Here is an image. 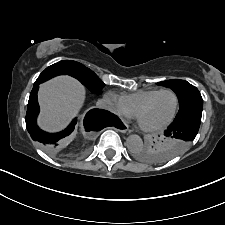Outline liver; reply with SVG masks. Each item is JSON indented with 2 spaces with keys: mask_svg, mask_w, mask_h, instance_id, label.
<instances>
[{
  "mask_svg": "<svg viewBox=\"0 0 225 225\" xmlns=\"http://www.w3.org/2000/svg\"><path fill=\"white\" fill-rule=\"evenodd\" d=\"M39 125L47 131H57L67 125L85 100V88L70 76H58L40 86Z\"/></svg>",
  "mask_w": 225,
  "mask_h": 225,
  "instance_id": "liver-1",
  "label": "liver"
}]
</instances>
